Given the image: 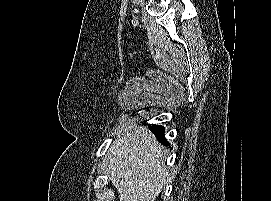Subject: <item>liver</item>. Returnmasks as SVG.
Segmentation results:
<instances>
[{
  "mask_svg": "<svg viewBox=\"0 0 271 201\" xmlns=\"http://www.w3.org/2000/svg\"><path fill=\"white\" fill-rule=\"evenodd\" d=\"M106 159L119 201H155L169 178L163 146L145 127L127 126Z\"/></svg>",
  "mask_w": 271,
  "mask_h": 201,
  "instance_id": "6515ba94",
  "label": "liver"
}]
</instances>
